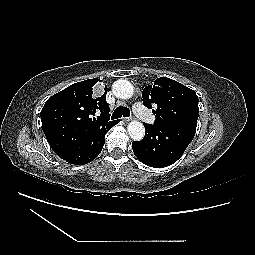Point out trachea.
Instances as JSON below:
<instances>
[{"instance_id":"3493384b","label":"trachea","mask_w":255,"mask_h":255,"mask_svg":"<svg viewBox=\"0 0 255 255\" xmlns=\"http://www.w3.org/2000/svg\"><path fill=\"white\" fill-rule=\"evenodd\" d=\"M129 117L130 116V110L126 107H117L112 116H111V119H118V118H121V117Z\"/></svg>"}]
</instances>
